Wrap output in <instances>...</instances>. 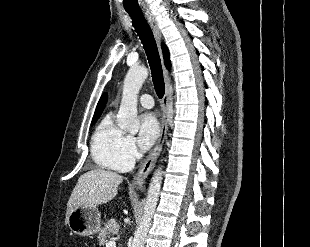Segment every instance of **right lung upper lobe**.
<instances>
[{"instance_id": "1", "label": "right lung upper lobe", "mask_w": 310, "mask_h": 247, "mask_svg": "<svg viewBox=\"0 0 310 247\" xmlns=\"http://www.w3.org/2000/svg\"><path fill=\"white\" fill-rule=\"evenodd\" d=\"M162 51H163V55H164V62H165V65L166 67L169 69L171 67V62H170V57H169V51L167 49V47L165 46V44H162ZM106 102H107V93H104L98 104H97V107H96V111H95V114H94V117H97V116H100L105 105H106ZM93 117V118H94Z\"/></svg>"}]
</instances>
